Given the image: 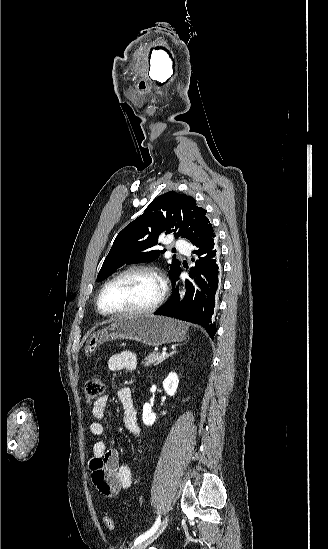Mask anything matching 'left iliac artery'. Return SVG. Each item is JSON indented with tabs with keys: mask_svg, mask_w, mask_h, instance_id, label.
<instances>
[{
	"mask_svg": "<svg viewBox=\"0 0 328 549\" xmlns=\"http://www.w3.org/2000/svg\"><path fill=\"white\" fill-rule=\"evenodd\" d=\"M160 516H158L155 524L152 526V528L150 530H148L147 532H145L144 534L140 535L134 542V545H137L139 544L140 542H142L143 540L147 539L148 537H150L152 534H154V532L158 529L159 527V524H160Z\"/></svg>",
	"mask_w": 328,
	"mask_h": 549,
	"instance_id": "1",
	"label": "left iliac artery"
}]
</instances>
